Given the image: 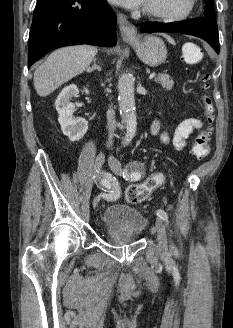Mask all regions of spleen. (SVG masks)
I'll list each match as a JSON object with an SVG mask.
<instances>
[{
	"label": "spleen",
	"mask_w": 233,
	"mask_h": 328,
	"mask_svg": "<svg viewBox=\"0 0 233 328\" xmlns=\"http://www.w3.org/2000/svg\"><path fill=\"white\" fill-rule=\"evenodd\" d=\"M184 48H185V49H192L193 52H194L196 55H198V49H197V47H196L194 44H192V43H187V44H185Z\"/></svg>",
	"instance_id": "3e777b00"
}]
</instances>
